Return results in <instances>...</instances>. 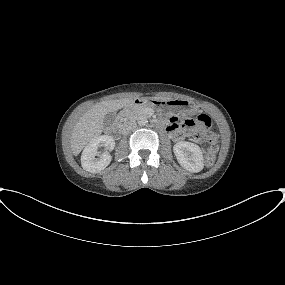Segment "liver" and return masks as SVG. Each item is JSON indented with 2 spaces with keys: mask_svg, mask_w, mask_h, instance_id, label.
Wrapping results in <instances>:
<instances>
[{
  "mask_svg": "<svg viewBox=\"0 0 285 285\" xmlns=\"http://www.w3.org/2000/svg\"><path fill=\"white\" fill-rule=\"evenodd\" d=\"M132 99L103 101L95 104L75 124L70 137L72 152L77 156L85 145L97 138L103 131L104 117L109 112L117 111L132 104Z\"/></svg>",
  "mask_w": 285,
  "mask_h": 285,
  "instance_id": "liver-1",
  "label": "liver"
}]
</instances>
